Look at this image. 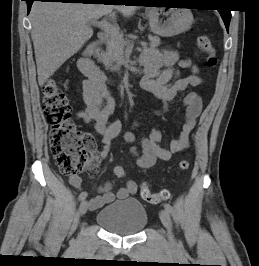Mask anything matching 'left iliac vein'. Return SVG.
<instances>
[{
  "mask_svg": "<svg viewBox=\"0 0 259 266\" xmlns=\"http://www.w3.org/2000/svg\"><path fill=\"white\" fill-rule=\"evenodd\" d=\"M160 220L167 230V238L171 245H175L176 241L172 232V222L169 214L165 210H161L159 213Z\"/></svg>",
  "mask_w": 259,
  "mask_h": 266,
  "instance_id": "obj_1",
  "label": "left iliac vein"
}]
</instances>
